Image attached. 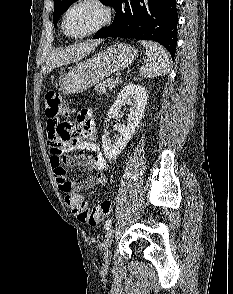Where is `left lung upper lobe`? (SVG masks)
Segmentation results:
<instances>
[{"mask_svg":"<svg viewBox=\"0 0 233 294\" xmlns=\"http://www.w3.org/2000/svg\"><path fill=\"white\" fill-rule=\"evenodd\" d=\"M77 0H54L53 23L56 25L59 17ZM102 3L109 4L115 8L118 0H100Z\"/></svg>","mask_w":233,"mask_h":294,"instance_id":"1","label":"left lung upper lobe"}]
</instances>
